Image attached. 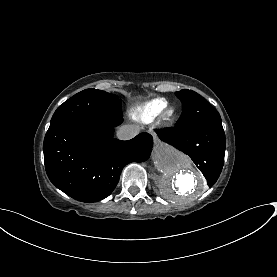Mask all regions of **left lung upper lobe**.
I'll return each mask as SVG.
<instances>
[{"label": "left lung upper lobe", "instance_id": "1", "mask_svg": "<svg viewBox=\"0 0 277 277\" xmlns=\"http://www.w3.org/2000/svg\"><path fill=\"white\" fill-rule=\"evenodd\" d=\"M175 94L183 104V115L177 126H190L209 121H221L217 110L196 92L183 89Z\"/></svg>", "mask_w": 277, "mask_h": 277}]
</instances>
